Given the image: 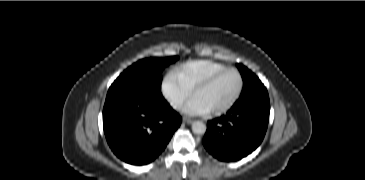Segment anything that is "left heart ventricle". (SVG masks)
I'll list each match as a JSON object with an SVG mask.
<instances>
[{
  "instance_id": "left-heart-ventricle-1",
  "label": "left heart ventricle",
  "mask_w": 365,
  "mask_h": 180,
  "mask_svg": "<svg viewBox=\"0 0 365 180\" xmlns=\"http://www.w3.org/2000/svg\"><path fill=\"white\" fill-rule=\"evenodd\" d=\"M238 86V75L235 72H228L200 91L194 99L210 111L227 104L234 97Z\"/></svg>"
}]
</instances>
